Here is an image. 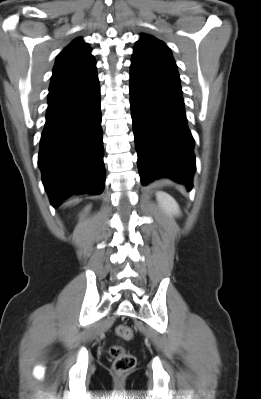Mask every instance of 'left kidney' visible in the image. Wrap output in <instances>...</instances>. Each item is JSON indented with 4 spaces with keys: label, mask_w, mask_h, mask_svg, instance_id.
Here are the masks:
<instances>
[{
    "label": "left kidney",
    "mask_w": 261,
    "mask_h": 399,
    "mask_svg": "<svg viewBox=\"0 0 261 399\" xmlns=\"http://www.w3.org/2000/svg\"><path fill=\"white\" fill-rule=\"evenodd\" d=\"M157 200L164 211L170 215H179L180 209L176 200L166 192L159 191L156 193Z\"/></svg>",
    "instance_id": "1"
}]
</instances>
